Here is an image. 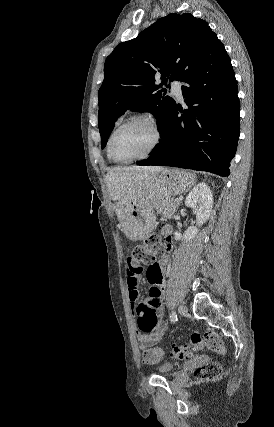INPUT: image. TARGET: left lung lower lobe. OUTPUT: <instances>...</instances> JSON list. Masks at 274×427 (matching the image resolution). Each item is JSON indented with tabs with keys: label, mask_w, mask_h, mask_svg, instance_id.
Returning a JSON list of instances; mask_svg holds the SVG:
<instances>
[{
	"label": "left lung lower lobe",
	"mask_w": 274,
	"mask_h": 427,
	"mask_svg": "<svg viewBox=\"0 0 274 427\" xmlns=\"http://www.w3.org/2000/svg\"><path fill=\"white\" fill-rule=\"evenodd\" d=\"M184 102L167 112L160 142L138 165H161L229 176L240 131L238 88L231 60L213 37L180 79ZM178 115H181L180 117Z\"/></svg>",
	"instance_id": "0a47b994"
}]
</instances>
